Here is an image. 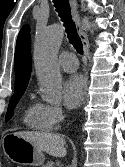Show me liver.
Here are the masks:
<instances>
[{
  "mask_svg": "<svg viewBox=\"0 0 125 167\" xmlns=\"http://www.w3.org/2000/svg\"><path fill=\"white\" fill-rule=\"evenodd\" d=\"M15 135L32 143L39 150L51 156L64 157L67 154L64 147L65 139L60 134L24 131L16 132Z\"/></svg>",
  "mask_w": 125,
  "mask_h": 167,
  "instance_id": "obj_1",
  "label": "liver"
}]
</instances>
